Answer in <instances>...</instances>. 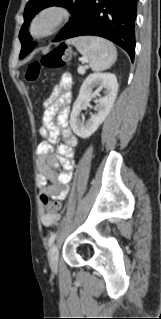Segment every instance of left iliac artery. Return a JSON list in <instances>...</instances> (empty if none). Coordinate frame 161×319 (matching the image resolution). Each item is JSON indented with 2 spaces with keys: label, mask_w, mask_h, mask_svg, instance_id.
Returning a JSON list of instances; mask_svg holds the SVG:
<instances>
[{
  "label": "left iliac artery",
  "mask_w": 161,
  "mask_h": 319,
  "mask_svg": "<svg viewBox=\"0 0 161 319\" xmlns=\"http://www.w3.org/2000/svg\"><path fill=\"white\" fill-rule=\"evenodd\" d=\"M55 238H56V233H53L50 236L49 241H48L49 246L52 245V243L54 242Z\"/></svg>",
  "instance_id": "1"
}]
</instances>
